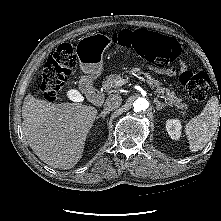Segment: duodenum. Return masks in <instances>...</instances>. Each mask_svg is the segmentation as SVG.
<instances>
[{
    "instance_id": "obj_1",
    "label": "duodenum",
    "mask_w": 221,
    "mask_h": 221,
    "mask_svg": "<svg viewBox=\"0 0 221 221\" xmlns=\"http://www.w3.org/2000/svg\"><path fill=\"white\" fill-rule=\"evenodd\" d=\"M84 93L86 94L87 98L94 104H101L103 101L104 95L102 90L94 86L84 89Z\"/></svg>"
}]
</instances>
